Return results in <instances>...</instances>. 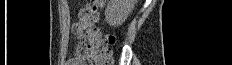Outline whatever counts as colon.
Returning <instances> with one entry per match:
<instances>
[{
	"instance_id": "colon-1",
	"label": "colon",
	"mask_w": 232,
	"mask_h": 65,
	"mask_svg": "<svg viewBox=\"0 0 232 65\" xmlns=\"http://www.w3.org/2000/svg\"><path fill=\"white\" fill-rule=\"evenodd\" d=\"M101 6L102 1H93L80 15L84 23L85 42L78 46V50L86 57V65H112L109 45L114 42V38L102 37L99 28L96 27Z\"/></svg>"
}]
</instances>
